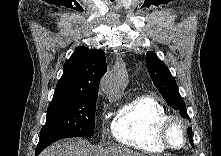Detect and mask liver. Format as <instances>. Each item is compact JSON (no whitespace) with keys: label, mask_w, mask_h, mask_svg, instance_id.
I'll use <instances>...</instances> for the list:
<instances>
[{"label":"liver","mask_w":221,"mask_h":156,"mask_svg":"<svg viewBox=\"0 0 221 156\" xmlns=\"http://www.w3.org/2000/svg\"><path fill=\"white\" fill-rule=\"evenodd\" d=\"M40 156H143L124 147H94L82 138L56 142L44 150Z\"/></svg>","instance_id":"6515ba94"}]
</instances>
